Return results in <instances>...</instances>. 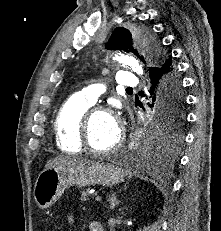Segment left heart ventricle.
<instances>
[{
  "label": "left heart ventricle",
  "instance_id": "obj_1",
  "mask_svg": "<svg viewBox=\"0 0 221 231\" xmlns=\"http://www.w3.org/2000/svg\"><path fill=\"white\" fill-rule=\"evenodd\" d=\"M118 133L119 127L111 115L96 114L90 126V143L95 149H106L115 143Z\"/></svg>",
  "mask_w": 221,
  "mask_h": 231
}]
</instances>
